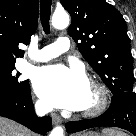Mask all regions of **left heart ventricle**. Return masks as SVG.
<instances>
[{"mask_svg":"<svg viewBox=\"0 0 136 136\" xmlns=\"http://www.w3.org/2000/svg\"><path fill=\"white\" fill-rule=\"evenodd\" d=\"M96 100V94L95 91L93 90V88L89 85L88 86V91H87V96H86V100H85V104L83 106L82 109H85L87 107H90L91 105L94 104Z\"/></svg>","mask_w":136,"mask_h":136,"instance_id":"left-heart-ventricle-1","label":"left heart ventricle"}]
</instances>
